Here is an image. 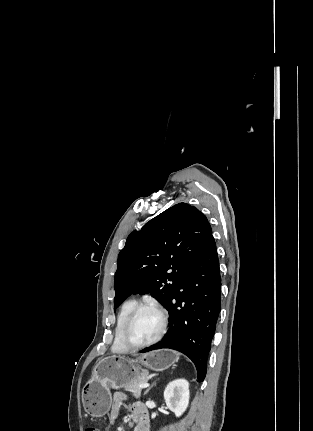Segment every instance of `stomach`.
Here are the masks:
<instances>
[{"instance_id":"stomach-1","label":"stomach","mask_w":313,"mask_h":431,"mask_svg":"<svg viewBox=\"0 0 313 431\" xmlns=\"http://www.w3.org/2000/svg\"><path fill=\"white\" fill-rule=\"evenodd\" d=\"M177 360L178 355L169 351H152L135 359L117 355L101 359L82 390L86 411L92 417L104 416L111 407V388L123 387L138 376L145 377L146 369L163 371Z\"/></svg>"}]
</instances>
